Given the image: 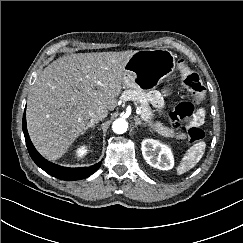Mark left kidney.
Listing matches in <instances>:
<instances>
[{
    "label": "left kidney",
    "instance_id": "obj_1",
    "mask_svg": "<svg viewBox=\"0 0 243 243\" xmlns=\"http://www.w3.org/2000/svg\"><path fill=\"white\" fill-rule=\"evenodd\" d=\"M142 155L146 162L159 170H170L174 166L171 149L154 139H145L141 144Z\"/></svg>",
    "mask_w": 243,
    "mask_h": 243
}]
</instances>
